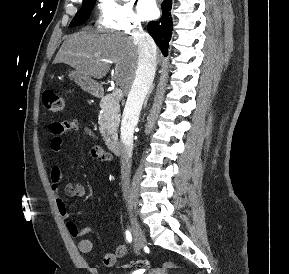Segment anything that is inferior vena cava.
<instances>
[{"label":"inferior vena cava","instance_id":"1","mask_svg":"<svg viewBox=\"0 0 289 274\" xmlns=\"http://www.w3.org/2000/svg\"><path fill=\"white\" fill-rule=\"evenodd\" d=\"M138 46V63L135 78L128 94L121 123V183L128 193L133 152L134 128L138 122L144 99L152 86L156 70V46L151 37L138 25L134 30Z\"/></svg>","mask_w":289,"mask_h":274}]
</instances>
